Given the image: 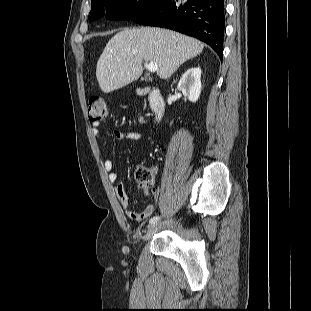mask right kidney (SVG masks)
Returning a JSON list of instances; mask_svg holds the SVG:
<instances>
[{
    "label": "right kidney",
    "mask_w": 311,
    "mask_h": 311,
    "mask_svg": "<svg viewBox=\"0 0 311 311\" xmlns=\"http://www.w3.org/2000/svg\"><path fill=\"white\" fill-rule=\"evenodd\" d=\"M177 88L189 101L195 103L201 93V69L199 67L188 69L182 75Z\"/></svg>",
    "instance_id": "right-kidney-1"
}]
</instances>
